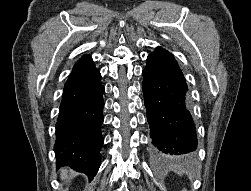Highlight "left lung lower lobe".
Returning <instances> with one entry per match:
<instances>
[{
  "label": "left lung lower lobe",
  "mask_w": 251,
  "mask_h": 191,
  "mask_svg": "<svg viewBox=\"0 0 251 191\" xmlns=\"http://www.w3.org/2000/svg\"><path fill=\"white\" fill-rule=\"evenodd\" d=\"M142 75L153 153L160 157L191 155L197 148L196 128L186 80L174 56L156 48L148 55Z\"/></svg>",
  "instance_id": "left-lung-lower-lobe-1"
}]
</instances>
